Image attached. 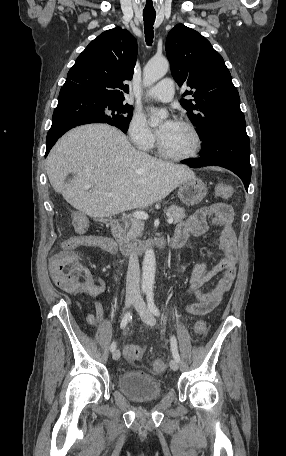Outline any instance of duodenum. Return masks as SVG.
Masks as SVG:
<instances>
[{
	"label": "duodenum",
	"instance_id": "1",
	"mask_svg": "<svg viewBox=\"0 0 286 456\" xmlns=\"http://www.w3.org/2000/svg\"><path fill=\"white\" fill-rule=\"evenodd\" d=\"M107 223L112 237L111 240L124 254H144L153 247L159 250L178 249L186 242V238L182 235H173L169 239H157L154 241L129 242L123 238L118 221L108 220Z\"/></svg>",
	"mask_w": 286,
	"mask_h": 456
}]
</instances>
